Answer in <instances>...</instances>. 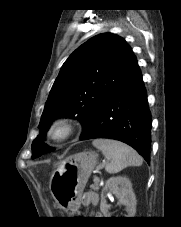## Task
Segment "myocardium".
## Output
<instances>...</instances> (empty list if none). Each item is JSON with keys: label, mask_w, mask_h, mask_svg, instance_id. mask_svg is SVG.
Masks as SVG:
<instances>
[{"label": "myocardium", "mask_w": 181, "mask_h": 227, "mask_svg": "<svg viewBox=\"0 0 181 227\" xmlns=\"http://www.w3.org/2000/svg\"><path fill=\"white\" fill-rule=\"evenodd\" d=\"M76 130L77 126L74 121L69 118H61L49 126L46 135L50 142L62 144L72 138Z\"/></svg>", "instance_id": "myocardium-1"}]
</instances>
